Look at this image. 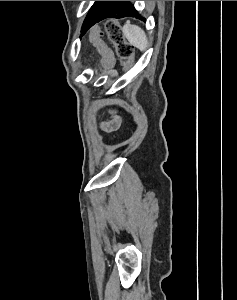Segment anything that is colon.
<instances>
[{
	"label": "colon",
	"mask_w": 237,
	"mask_h": 300,
	"mask_svg": "<svg viewBox=\"0 0 237 300\" xmlns=\"http://www.w3.org/2000/svg\"><path fill=\"white\" fill-rule=\"evenodd\" d=\"M105 31L108 39L115 47L121 64L128 70L132 64L134 52L132 45L128 43L124 37L120 23L115 19L109 20L105 24ZM90 40L101 53L102 65L108 66L112 58L110 51L106 48L101 39V31L97 28H93L90 33Z\"/></svg>",
	"instance_id": "1"
}]
</instances>
